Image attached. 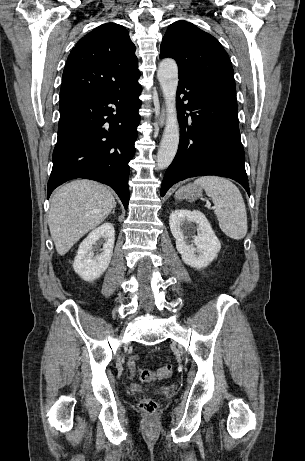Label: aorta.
Segmentation results:
<instances>
[{
	"mask_svg": "<svg viewBox=\"0 0 305 461\" xmlns=\"http://www.w3.org/2000/svg\"><path fill=\"white\" fill-rule=\"evenodd\" d=\"M157 77L166 104V125L157 153L159 169L167 168L173 161L179 144L180 132L176 111V90L178 86V67L175 60L163 59L158 67Z\"/></svg>",
	"mask_w": 305,
	"mask_h": 461,
	"instance_id": "obj_1",
	"label": "aorta"
}]
</instances>
